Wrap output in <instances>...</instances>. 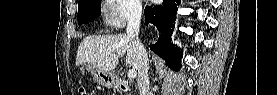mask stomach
<instances>
[{
  "label": "stomach",
  "mask_w": 277,
  "mask_h": 95,
  "mask_svg": "<svg viewBox=\"0 0 277 95\" xmlns=\"http://www.w3.org/2000/svg\"><path fill=\"white\" fill-rule=\"evenodd\" d=\"M86 70L98 84L108 88L115 86V77L111 72L102 71L91 64H86Z\"/></svg>",
  "instance_id": "stomach-1"
}]
</instances>
